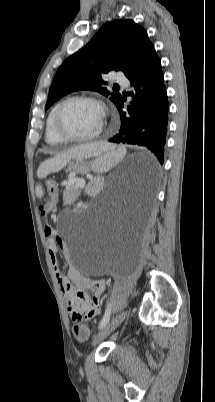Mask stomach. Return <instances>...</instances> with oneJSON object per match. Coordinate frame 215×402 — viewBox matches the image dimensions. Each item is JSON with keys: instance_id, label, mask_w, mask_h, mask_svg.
<instances>
[{"instance_id": "1", "label": "stomach", "mask_w": 215, "mask_h": 402, "mask_svg": "<svg viewBox=\"0 0 215 402\" xmlns=\"http://www.w3.org/2000/svg\"><path fill=\"white\" fill-rule=\"evenodd\" d=\"M68 171H73L79 174H86L90 171V167L87 164L77 160L69 164Z\"/></svg>"}]
</instances>
